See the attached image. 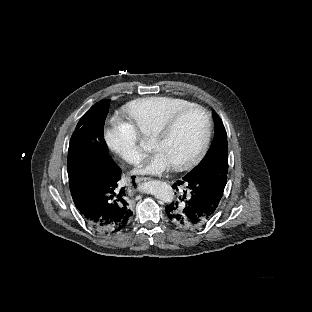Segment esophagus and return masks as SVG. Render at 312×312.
I'll return each instance as SVG.
<instances>
[{"label":"esophagus","mask_w":312,"mask_h":312,"mask_svg":"<svg viewBox=\"0 0 312 312\" xmlns=\"http://www.w3.org/2000/svg\"><path fill=\"white\" fill-rule=\"evenodd\" d=\"M149 180H150V178H148V177H136V179H135V181H136L137 183L147 182V181H149Z\"/></svg>","instance_id":"34e87169"}]
</instances>
